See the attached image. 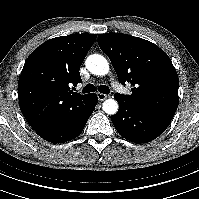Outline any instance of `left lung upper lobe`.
I'll list each match as a JSON object with an SVG mask.
<instances>
[{"label":"left lung upper lobe","mask_w":199,"mask_h":199,"mask_svg":"<svg viewBox=\"0 0 199 199\" xmlns=\"http://www.w3.org/2000/svg\"><path fill=\"white\" fill-rule=\"evenodd\" d=\"M98 44L110 58L119 82L134 86L131 95H115L172 119L179 103V80L168 55L147 40L122 33L99 34Z\"/></svg>","instance_id":"5c2ea615"}]
</instances>
